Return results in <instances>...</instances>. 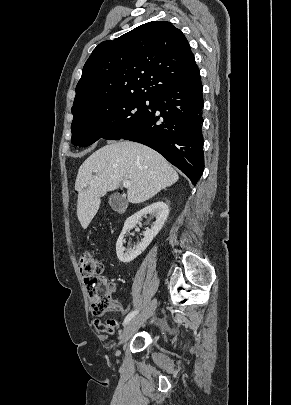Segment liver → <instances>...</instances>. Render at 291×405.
Instances as JSON below:
<instances>
[{"label": "liver", "mask_w": 291, "mask_h": 405, "mask_svg": "<svg viewBox=\"0 0 291 405\" xmlns=\"http://www.w3.org/2000/svg\"><path fill=\"white\" fill-rule=\"evenodd\" d=\"M179 176L166 159L139 143H110L91 154L80 166L75 190L78 191L77 217L86 229L101 204V197L129 180L127 199L144 202L177 182Z\"/></svg>", "instance_id": "1"}]
</instances>
